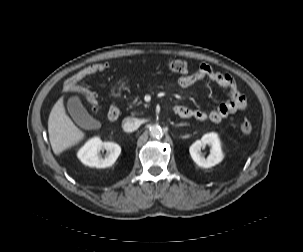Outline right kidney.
Instances as JSON below:
<instances>
[{"label":"right kidney","mask_w":303,"mask_h":252,"mask_svg":"<svg viewBox=\"0 0 303 252\" xmlns=\"http://www.w3.org/2000/svg\"><path fill=\"white\" fill-rule=\"evenodd\" d=\"M106 150L107 156L100 157V151ZM121 153V147L114 142H102L100 138L95 137L89 140L77 153L80 161L96 168H106L112 166Z\"/></svg>","instance_id":"1"}]
</instances>
